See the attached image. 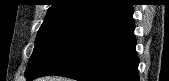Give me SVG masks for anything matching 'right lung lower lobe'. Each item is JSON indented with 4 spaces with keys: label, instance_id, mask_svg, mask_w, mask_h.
<instances>
[{
    "label": "right lung lower lobe",
    "instance_id": "obj_1",
    "mask_svg": "<svg viewBox=\"0 0 169 81\" xmlns=\"http://www.w3.org/2000/svg\"><path fill=\"white\" fill-rule=\"evenodd\" d=\"M133 8L125 3L81 25L28 81L46 75L80 81H139Z\"/></svg>",
    "mask_w": 169,
    "mask_h": 81
}]
</instances>
